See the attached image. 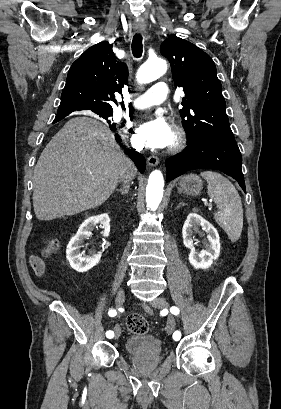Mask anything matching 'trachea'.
Instances as JSON below:
<instances>
[{"label":"trachea","instance_id":"obj_1","mask_svg":"<svg viewBox=\"0 0 281 409\" xmlns=\"http://www.w3.org/2000/svg\"><path fill=\"white\" fill-rule=\"evenodd\" d=\"M131 49L133 56L136 58H140L143 52V45H142V36L139 33H136L133 37Z\"/></svg>","mask_w":281,"mask_h":409}]
</instances>
